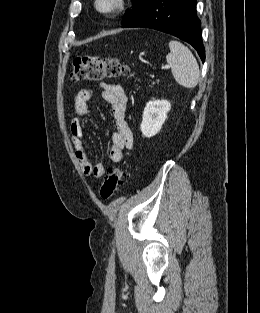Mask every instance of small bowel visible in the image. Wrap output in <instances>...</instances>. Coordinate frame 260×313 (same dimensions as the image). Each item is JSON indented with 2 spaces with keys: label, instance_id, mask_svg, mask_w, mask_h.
<instances>
[{
  "label": "small bowel",
  "instance_id": "c3829d8e",
  "mask_svg": "<svg viewBox=\"0 0 260 313\" xmlns=\"http://www.w3.org/2000/svg\"><path fill=\"white\" fill-rule=\"evenodd\" d=\"M102 98L111 105L116 130L111 134L110 158L114 163H120L124 158V151L133 147L134 139L126 120L127 95L124 88L119 84H101ZM91 90L81 89L74 98V117L71 120L70 131L75 156L86 175L95 178H103L106 167L101 164H93L86 151L84 144V131L82 120L88 114V101L91 98Z\"/></svg>",
  "mask_w": 260,
  "mask_h": 313
}]
</instances>
